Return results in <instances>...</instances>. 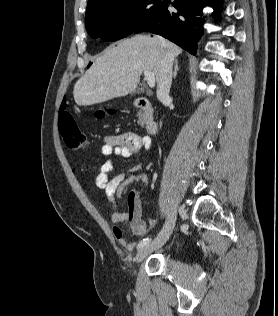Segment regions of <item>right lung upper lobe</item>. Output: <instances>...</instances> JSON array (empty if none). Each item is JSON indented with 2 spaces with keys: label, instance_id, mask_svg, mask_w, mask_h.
<instances>
[{
  "label": "right lung upper lobe",
  "instance_id": "obj_1",
  "mask_svg": "<svg viewBox=\"0 0 278 316\" xmlns=\"http://www.w3.org/2000/svg\"><path fill=\"white\" fill-rule=\"evenodd\" d=\"M107 1H110V0H88L86 12L92 9L93 7L100 5L102 3H105Z\"/></svg>",
  "mask_w": 278,
  "mask_h": 316
}]
</instances>
